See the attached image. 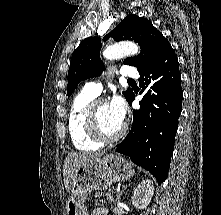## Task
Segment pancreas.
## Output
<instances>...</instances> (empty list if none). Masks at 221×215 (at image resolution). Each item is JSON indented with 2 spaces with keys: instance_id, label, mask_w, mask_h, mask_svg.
Returning a JSON list of instances; mask_svg holds the SVG:
<instances>
[{
  "instance_id": "pancreas-1",
  "label": "pancreas",
  "mask_w": 221,
  "mask_h": 215,
  "mask_svg": "<svg viewBox=\"0 0 221 215\" xmlns=\"http://www.w3.org/2000/svg\"><path fill=\"white\" fill-rule=\"evenodd\" d=\"M108 196H110V193L97 192V193L94 194V198H95L96 203L100 204V205H104L108 201V199H106V200L103 199V197L107 198ZM88 200L91 201L92 199L90 198Z\"/></svg>"
}]
</instances>
